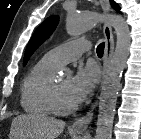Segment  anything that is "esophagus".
I'll return each mask as SVG.
<instances>
[{
    "label": "esophagus",
    "instance_id": "obj_1",
    "mask_svg": "<svg viewBox=\"0 0 141 139\" xmlns=\"http://www.w3.org/2000/svg\"><path fill=\"white\" fill-rule=\"evenodd\" d=\"M101 7L104 11V13H109L111 11V6L109 3V0H99ZM103 32L105 36V50H104V60H103V68H102V78L103 80L105 79L108 69L111 63L113 51H114V37H113V32L110 24L108 22L104 23L103 26ZM97 105V100L91 107V109L81 118L77 119L73 124H72V129L77 131V132H85L89 125L92 122L93 115H94V110Z\"/></svg>",
    "mask_w": 141,
    "mask_h": 139
}]
</instances>
